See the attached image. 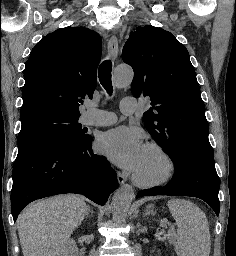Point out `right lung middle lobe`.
I'll list each match as a JSON object with an SVG mask.
<instances>
[{
    "mask_svg": "<svg viewBox=\"0 0 236 256\" xmlns=\"http://www.w3.org/2000/svg\"><path fill=\"white\" fill-rule=\"evenodd\" d=\"M18 136V155L36 147L53 143L67 142L80 144L89 136L84 135L78 118L64 116L55 111H42L21 119Z\"/></svg>",
    "mask_w": 236,
    "mask_h": 256,
    "instance_id": "right-lung-middle-lobe-1",
    "label": "right lung middle lobe"
}]
</instances>
